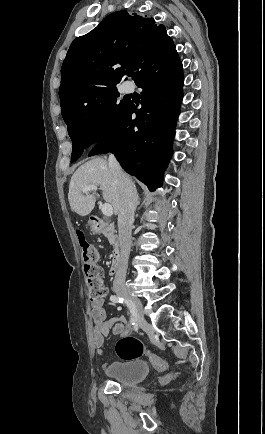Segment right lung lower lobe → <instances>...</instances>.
<instances>
[{"instance_id":"1","label":"right lung lower lobe","mask_w":265,"mask_h":434,"mask_svg":"<svg viewBox=\"0 0 265 434\" xmlns=\"http://www.w3.org/2000/svg\"><path fill=\"white\" fill-rule=\"evenodd\" d=\"M135 83L143 89L142 107L136 109L138 103L131 101L120 124L97 142L89 156L114 153L126 172L154 191L161 186L163 171L172 155L183 97L182 62L175 48L147 64Z\"/></svg>"}]
</instances>
